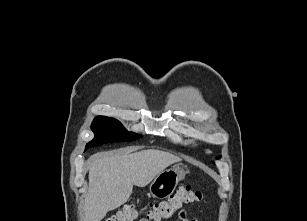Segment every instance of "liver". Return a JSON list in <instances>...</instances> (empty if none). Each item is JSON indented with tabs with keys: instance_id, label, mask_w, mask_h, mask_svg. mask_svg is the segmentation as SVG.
<instances>
[{
	"instance_id": "6515ba94",
	"label": "liver",
	"mask_w": 307,
	"mask_h": 221,
	"mask_svg": "<svg viewBox=\"0 0 307 221\" xmlns=\"http://www.w3.org/2000/svg\"><path fill=\"white\" fill-rule=\"evenodd\" d=\"M179 161L177 156L154 149L91 156L85 221H101L108 211L127 202L133 185H148L166 167Z\"/></svg>"
}]
</instances>
